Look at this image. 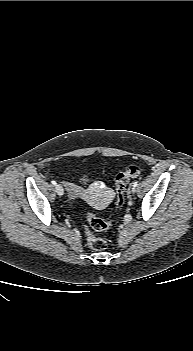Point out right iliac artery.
<instances>
[{
	"instance_id": "right-iliac-artery-1",
	"label": "right iliac artery",
	"mask_w": 193,
	"mask_h": 351,
	"mask_svg": "<svg viewBox=\"0 0 193 351\" xmlns=\"http://www.w3.org/2000/svg\"><path fill=\"white\" fill-rule=\"evenodd\" d=\"M51 183H52L53 185H56V184H57L56 181H54V180H52Z\"/></svg>"
}]
</instances>
